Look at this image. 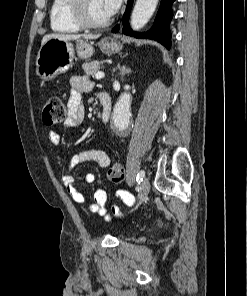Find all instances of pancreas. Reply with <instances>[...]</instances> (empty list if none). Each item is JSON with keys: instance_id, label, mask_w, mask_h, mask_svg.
Masks as SVG:
<instances>
[{"instance_id": "pancreas-1", "label": "pancreas", "mask_w": 247, "mask_h": 296, "mask_svg": "<svg viewBox=\"0 0 247 296\" xmlns=\"http://www.w3.org/2000/svg\"><path fill=\"white\" fill-rule=\"evenodd\" d=\"M102 64H103L102 61L101 62L100 61H93L90 63H84L82 65V68L87 75L94 77L96 75V73L98 72V70L100 69V66Z\"/></svg>"}]
</instances>
